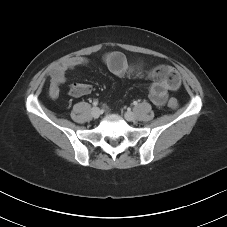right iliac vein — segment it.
I'll return each mask as SVG.
<instances>
[{
  "label": "right iliac vein",
  "mask_w": 227,
  "mask_h": 227,
  "mask_svg": "<svg viewBox=\"0 0 227 227\" xmlns=\"http://www.w3.org/2000/svg\"><path fill=\"white\" fill-rule=\"evenodd\" d=\"M91 114L94 118H98L100 116V109L97 107L92 108Z\"/></svg>",
  "instance_id": "obj_1"
}]
</instances>
